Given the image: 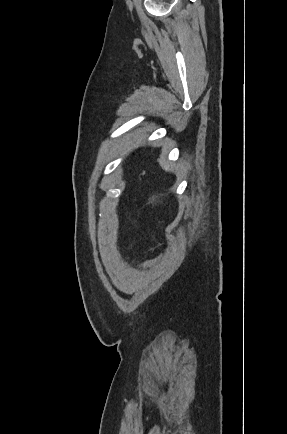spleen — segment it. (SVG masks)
<instances>
[{
  "mask_svg": "<svg viewBox=\"0 0 287 434\" xmlns=\"http://www.w3.org/2000/svg\"><path fill=\"white\" fill-rule=\"evenodd\" d=\"M159 164L162 167V169L165 170L166 172H173L174 171L173 165L171 163L167 162L166 159H160Z\"/></svg>",
  "mask_w": 287,
  "mask_h": 434,
  "instance_id": "3e777b00",
  "label": "spleen"
}]
</instances>
